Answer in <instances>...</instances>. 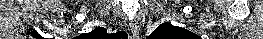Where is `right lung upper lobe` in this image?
I'll return each instance as SVG.
<instances>
[{
	"label": "right lung upper lobe",
	"mask_w": 263,
	"mask_h": 39,
	"mask_svg": "<svg viewBox=\"0 0 263 39\" xmlns=\"http://www.w3.org/2000/svg\"><path fill=\"white\" fill-rule=\"evenodd\" d=\"M114 35H116L117 37H119L120 35H126L124 32H117V33H115V34H107V32H106V29L105 28H102V27H99V28H96V29H94L93 31H91L90 33H87V36H86V38L88 39H91V38H101V36H102V38H113L114 37Z\"/></svg>",
	"instance_id": "right-lung-upper-lobe-1"
}]
</instances>
